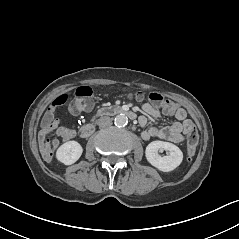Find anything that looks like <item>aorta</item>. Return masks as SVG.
Masks as SVG:
<instances>
[{
    "label": "aorta",
    "mask_w": 239,
    "mask_h": 239,
    "mask_svg": "<svg viewBox=\"0 0 239 239\" xmlns=\"http://www.w3.org/2000/svg\"><path fill=\"white\" fill-rule=\"evenodd\" d=\"M114 124L117 127H125L128 124V118L123 114H119L115 117Z\"/></svg>",
    "instance_id": "obj_1"
}]
</instances>
